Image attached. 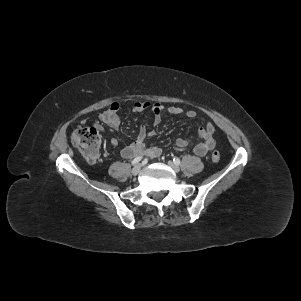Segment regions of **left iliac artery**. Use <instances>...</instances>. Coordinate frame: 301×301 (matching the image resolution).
<instances>
[{
  "mask_svg": "<svg viewBox=\"0 0 301 301\" xmlns=\"http://www.w3.org/2000/svg\"><path fill=\"white\" fill-rule=\"evenodd\" d=\"M173 161H174V163H175V164H177V165H179V164H180V159H179V158H177V157H176V158H174V159H173Z\"/></svg>",
  "mask_w": 301,
  "mask_h": 301,
  "instance_id": "obj_1",
  "label": "left iliac artery"
}]
</instances>
